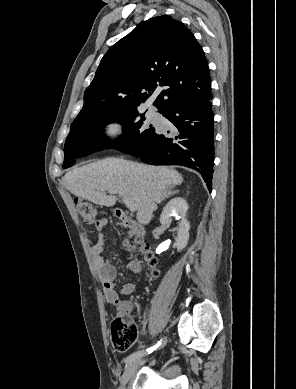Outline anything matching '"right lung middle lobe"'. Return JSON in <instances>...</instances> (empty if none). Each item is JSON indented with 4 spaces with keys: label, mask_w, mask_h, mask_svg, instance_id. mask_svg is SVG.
Masks as SVG:
<instances>
[{
    "label": "right lung middle lobe",
    "mask_w": 296,
    "mask_h": 389,
    "mask_svg": "<svg viewBox=\"0 0 296 389\" xmlns=\"http://www.w3.org/2000/svg\"><path fill=\"white\" fill-rule=\"evenodd\" d=\"M123 126V134L112 146L124 153L142 151L156 130L141 116L137 107H118L88 112L76 118L66 139L63 168L72 166L76 158L95 152L107 144L102 129L111 122Z\"/></svg>",
    "instance_id": "right-lung-middle-lobe-1"
}]
</instances>
